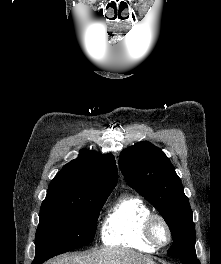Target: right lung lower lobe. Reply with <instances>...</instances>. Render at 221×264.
Returning a JSON list of instances; mask_svg holds the SVG:
<instances>
[{
    "label": "right lung lower lobe",
    "instance_id": "98d812e1",
    "mask_svg": "<svg viewBox=\"0 0 221 264\" xmlns=\"http://www.w3.org/2000/svg\"><path fill=\"white\" fill-rule=\"evenodd\" d=\"M43 262L42 260H34L32 264H42Z\"/></svg>",
    "mask_w": 221,
    "mask_h": 264
}]
</instances>
